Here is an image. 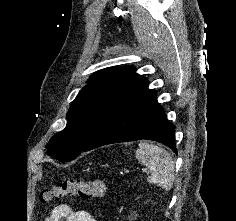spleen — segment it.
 <instances>
[{"mask_svg":"<svg viewBox=\"0 0 236 221\" xmlns=\"http://www.w3.org/2000/svg\"><path fill=\"white\" fill-rule=\"evenodd\" d=\"M136 159L150 169L148 182L170 189L174 182V162L164 148L147 142H140L135 152Z\"/></svg>","mask_w":236,"mask_h":221,"instance_id":"3e777b00","label":"spleen"}]
</instances>
